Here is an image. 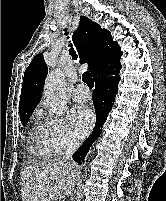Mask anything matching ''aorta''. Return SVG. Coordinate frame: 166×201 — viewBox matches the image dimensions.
I'll return each mask as SVG.
<instances>
[{
  "label": "aorta",
  "mask_w": 166,
  "mask_h": 201,
  "mask_svg": "<svg viewBox=\"0 0 166 201\" xmlns=\"http://www.w3.org/2000/svg\"><path fill=\"white\" fill-rule=\"evenodd\" d=\"M44 99L50 113L62 115L66 109L64 74L61 70L52 71L46 78L44 86Z\"/></svg>",
  "instance_id": "aorta-1"
}]
</instances>
